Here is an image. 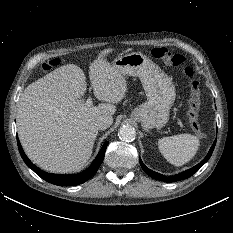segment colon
<instances>
[{
  "instance_id": "obj_1",
  "label": "colon",
  "mask_w": 233,
  "mask_h": 233,
  "mask_svg": "<svg viewBox=\"0 0 233 233\" xmlns=\"http://www.w3.org/2000/svg\"><path fill=\"white\" fill-rule=\"evenodd\" d=\"M151 55L155 59L162 60L165 64L181 69L184 78L189 82L190 98L188 102V118L192 130L202 135V128L199 120V111L201 107V94L199 82L195 71L186 64V59L181 54H175L164 47H155L151 50ZM60 64L59 59H51L42 64L45 71H49Z\"/></svg>"
}]
</instances>
